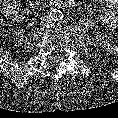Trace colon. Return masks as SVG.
Segmentation results:
<instances>
[{
	"label": "colon",
	"mask_w": 118,
	"mask_h": 118,
	"mask_svg": "<svg viewBox=\"0 0 118 118\" xmlns=\"http://www.w3.org/2000/svg\"><path fill=\"white\" fill-rule=\"evenodd\" d=\"M0 8L2 18L22 16L31 10L32 0H4Z\"/></svg>",
	"instance_id": "colon-1"
}]
</instances>
